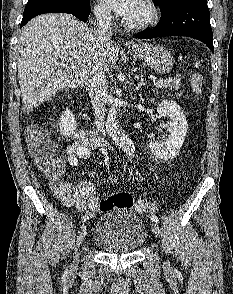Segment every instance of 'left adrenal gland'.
<instances>
[{
    "label": "left adrenal gland",
    "instance_id": "obj_1",
    "mask_svg": "<svg viewBox=\"0 0 233 294\" xmlns=\"http://www.w3.org/2000/svg\"><path fill=\"white\" fill-rule=\"evenodd\" d=\"M135 79H137V81H139V83H138L137 86H136V90H140L141 87H142V85H145V82H144V76H143V74H141L140 76L137 75V76L135 77Z\"/></svg>",
    "mask_w": 233,
    "mask_h": 294
}]
</instances>
